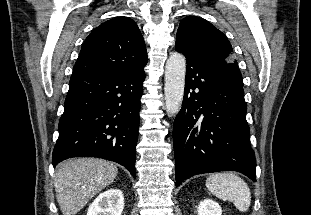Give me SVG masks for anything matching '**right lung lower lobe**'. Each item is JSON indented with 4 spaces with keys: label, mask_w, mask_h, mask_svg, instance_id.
Wrapping results in <instances>:
<instances>
[{
    "label": "right lung lower lobe",
    "mask_w": 311,
    "mask_h": 215,
    "mask_svg": "<svg viewBox=\"0 0 311 215\" xmlns=\"http://www.w3.org/2000/svg\"><path fill=\"white\" fill-rule=\"evenodd\" d=\"M144 70L131 74L73 73L59 122L52 164L79 156L117 162L136 177Z\"/></svg>",
    "instance_id": "98d812e1"
}]
</instances>
